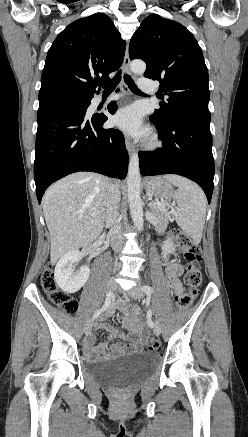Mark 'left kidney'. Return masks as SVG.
Instances as JSON below:
<instances>
[{"instance_id": "1", "label": "left kidney", "mask_w": 248, "mask_h": 437, "mask_svg": "<svg viewBox=\"0 0 248 437\" xmlns=\"http://www.w3.org/2000/svg\"><path fill=\"white\" fill-rule=\"evenodd\" d=\"M161 249L164 253H174L175 251V246L174 243L172 241V237H168L162 244Z\"/></svg>"}]
</instances>
